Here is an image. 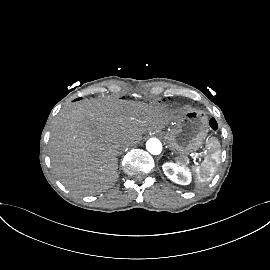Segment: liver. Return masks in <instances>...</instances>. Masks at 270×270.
<instances>
[{
    "instance_id": "6515ba94",
    "label": "liver",
    "mask_w": 270,
    "mask_h": 270,
    "mask_svg": "<svg viewBox=\"0 0 270 270\" xmlns=\"http://www.w3.org/2000/svg\"><path fill=\"white\" fill-rule=\"evenodd\" d=\"M165 123L158 106L110 98L85 100L54 119L53 168L62 183L73 189L104 188L116 180L119 147Z\"/></svg>"
}]
</instances>
